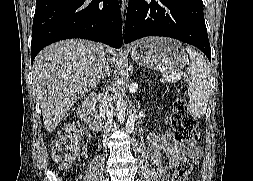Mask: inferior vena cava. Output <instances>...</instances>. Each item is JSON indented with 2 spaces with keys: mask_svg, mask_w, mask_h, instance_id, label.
Listing matches in <instances>:
<instances>
[{
  "mask_svg": "<svg viewBox=\"0 0 253 181\" xmlns=\"http://www.w3.org/2000/svg\"><path fill=\"white\" fill-rule=\"evenodd\" d=\"M102 104H103V114L106 120L108 121L107 127L110 128V131H113L115 120L112 117L113 115L112 98L106 96Z\"/></svg>",
  "mask_w": 253,
  "mask_h": 181,
  "instance_id": "obj_1",
  "label": "inferior vena cava"
}]
</instances>
